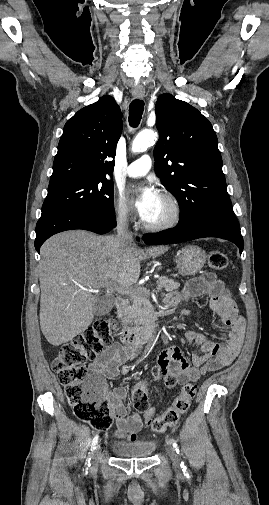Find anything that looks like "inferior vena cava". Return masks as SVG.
I'll return each instance as SVG.
<instances>
[{"label": "inferior vena cava", "instance_id": "obj_1", "mask_svg": "<svg viewBox=\"0 0 269 505\" xmlns=\"http://www.w3.org/2000/svg\"><path fill=\"white\" fill-rule=\"evenodd\" d=\"M117 237L126 244L133 242V235L128 228V221L125 215H121L117 219Z\"/></svg>", "mask_w": 269, "mask_h": 505}]
</instances>
